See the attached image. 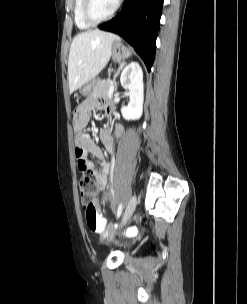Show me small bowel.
<instances>
[{"instance_id": "obj_1", "label": "small bowel", "mask_w": 247, "mask_h": 304, "mask_svg": "<svg viewBox=\"0 0 247 304\" xmlns=\"http://www.w3.org/2000/svg\"><path fill=\"white\" fill-rule=\"evenodd\" d=\"M93 108L110 110V108L101 101L88 100L84 102L74 110L73 117L74 119H77L74 121V130L76 132H81L87 126L89 114ZM122 131V127L120 125H116V137H119ZM100 139L107 150L112 151L115 149V142L108 129L101 130ZM74 143L76 145V156L78 158L80 169L92 173L99 189L101 191H105L108 184L109 164L103 161V153L101 149L88 134H81ZM89 155L102 160L101 165L97 166L95 162L89 158Z\"/></svg>"}]
</instances>
